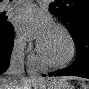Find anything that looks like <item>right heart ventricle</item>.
<instances>
[{
	"label": "right heart ventricle",
	"mask_w": 89,
	"mask_h": 89,
	"mask_svg": "<svg viewBox=\"0 0 89 89\" xmlns=\"http://www.w3.org/2000/svg\"><path fill=\"white\" fill-rule=\"evenodd\" d=\"M33 62H34V63H36L37 65L42 66V64L40 63V61H39V60H37V59H34V60H33Z\"/></svg>",
	"instance_id": "obj_1"
}]
</instances>
